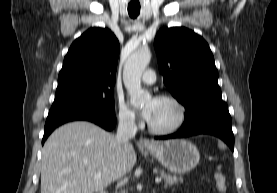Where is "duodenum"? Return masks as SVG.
<instances>
[{
  "mask_svg": "<svg viewBox=\"0 0 277 193\" xmlns=\"http://www.w3.org/2000/svg\"><path fill=\"white\" fill-rule=\"evenodd\" d=\"M99 193H109V192L106 191V190H102V191H100Z\"/></svg>",
  "mask_w": 277,
  "mask_h": 193,
  "instance_id": "duodenum-1",
  "label": "duodenum"
}]
</instances>
